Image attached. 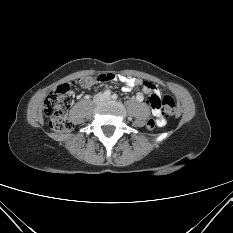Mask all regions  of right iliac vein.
Masks as SVG:
<instances>
[{
	"mask_svg": "<svg viewBox=\"0 0 233 233\" xmlns=\"http://www.w3.org/2000/svg\"><path fill=\"white\" fill-rule=\"evenodd\" d=\"M102 100H103V95L102 94H98L94 98L95 103H100Z\"/></svg>",
	"mask_w": 233,
	"mask_h": 233,
	"instance_id": "1",
	"label": "right iliac vein"
}]
</instances>
